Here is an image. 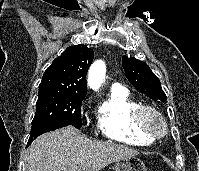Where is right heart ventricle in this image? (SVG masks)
Instances as JSON below:
<instances>
[{
	"label": "right heart ventricle",
	"instance_id": "e07e8e85",
	"mask_svg": "<svg viewBox=\"0 0 199 171\" xmlns=\"http://www.w3.org/2000/svg\"><path fill=\"white\" fill-rule=\"evenodd\" d=\"M141 105L127 89H110L98 109L97 124L101 134L130 145L153 144L156 139L144 133L137 124L136 114Z\"/></svg>",
	"mask_w": 199,
	"mask_h": 171
}]
</instances>
